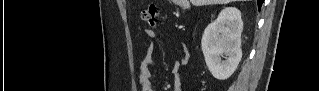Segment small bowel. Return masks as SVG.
Wrapping results in <instances>:
<instances>
[{
  "label": "small bowel",
  "mask_w": 319,
  "mask_h": 91,
  "mask_svg": "<svg viewBox=\"0 0 319 91\" xmlns=\"http://www.w3.org/2000/svg\"><path fill=\"white\" fill-rule=\"evenodd\" d=\"M145 38L147 39V53L141 61L138 75V85L140 86L142 91H156L152 81V74L150 70V66L153 62L154 52H155V44L154 39L156 37V33L148 29L144 33ZM188 63V51L186 48H183V57L180 61H177L173 64L172 74L175 80V90H182V81L179 78V71L181 67L185 66Z\"/></svg>",
  "instance_id": "1"
}]
</instances>
